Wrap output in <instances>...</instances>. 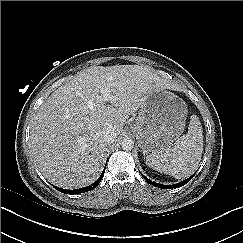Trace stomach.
Segmentation results:
<instances>
[{
  "mask_svg": "<svg viewBox=\"0 0 243 243\" xmlns=\"http://www.w3.org/2000/svg\"><path fill=\"white\" fill-rule=\"evenodd\" d=\"M187 106L177 95L165 90L151 92L140 108L135 123L143 153H158L171 146L185 127Z\"/></svg>",
  "mask_w": 243,
  "mask_h": 243,
  "instance_id": "0dacf381",
  "label": "stomach"
}]
</instances>
